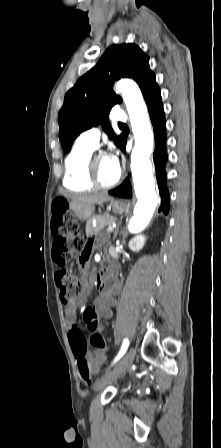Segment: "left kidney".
Here are the masks:
<instances>
[{
	"instance_id": "obj_1",
	"label": "left kidney",
	"mask_w": 221,
	"mask_h": 448,
	"mask_svg": "<svg viewBox=\"0 0 221 448\" xmlns=\"http://www.w3.org/2000/svg\"><path fill=\"white\" fill-rule=\"evenodd\" d=\"M145 241H146L145 236L138 235L130 241L129 247L132 251L138 252L143 248Z\"/></svg>"
}]
</instances>
